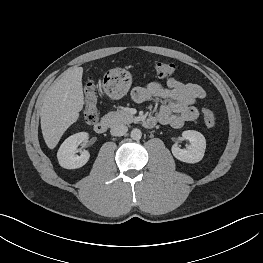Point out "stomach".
<instances>
[{"label": "stomach", "instance_id": "1", "mask_svg": "<svg viewBox=\"0 0 263 263\" xmlns=\"http://www.w3.org/2000/svg\"><path fill=\"white\" fill-rule=\"evenodd\" d=\"M131 84V74L122 68H115L106 75L104 89L110 98L118 100L127 94Z\"/></svg>", "mask_w": 263, "mask_h": 263}]
</instances>
